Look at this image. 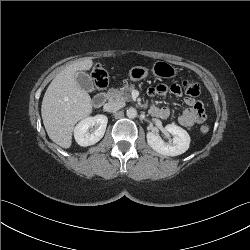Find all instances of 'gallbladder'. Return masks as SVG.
I'll return each mask as SVG.
<instances>
[{"mask_svg":"<svg viewBox=\"0 0 250 250\" xmlns=\"http://www.w3.org/2000/svg\"><path fill=\"white\" fill-rule=\"evenodd\" d=\"M76 82L83 90L92 92L94 90V84L91 77L85 72H79L76 76Z\"/></svg>","mask_w":250,"mask_h":250,"instance_id":"obj_1","label":"gallbladder"}]
</instances>
